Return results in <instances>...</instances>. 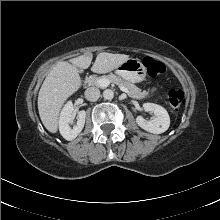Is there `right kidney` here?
<instances>
[{
    "label": "right kidney",
    "instance_id": "ca27d5eb",
    "mask_svg": "<svg viewBox=\"0 0 220 220\" xmlns=\"http://www.w3.org/2000/svg\"><path fill=\"white\" fill-rule=\"evenodd\" d=\"M74 117L73 104L69 101L62 109L59 119V131L63 138L68 141L75 139L82 131L85 124L86 112L84 110L78 112L77 123L71 128L70 123Z\"/></svg>",
    "mask_w": 220,
    "mask_h": 220
}]
</instances>
